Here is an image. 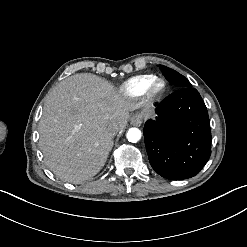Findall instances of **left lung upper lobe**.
<instances>
[{
	"label": "left lung upper lobe",
	"mask_w": 247,
	"mask_h": 247,
	"mask_svg": "<svg viewBox=\"0 0 247 247\" xmlns=\"http://www.w3.org/2000/svg\"><path fill=\"white\" fill-rule=\"evenodd\" d=\"M166 79L178 88L192 87L191 83L181 74L166 66L159 65Z\"/></svg>",
	"instance_id": "left-lung-upper-lobe-1"
}]
</instances>
